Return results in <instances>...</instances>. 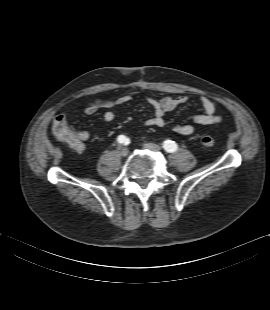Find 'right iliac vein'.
<instances>
[{
  "mask_svg": "<svg viewBox=\"0 0 270 310\" xmlns=\"http://www.w3.org/2000/svg\"><path fill=\"white\" fill-rule=\"evenodd\" d=\"M119 152H120V154H121L122 156H127L129 151H128V148H127V147L121 146V147L119 148Z\"/></svg>",
  "mask_w": 270,
  "mask_h": 310,
  "instance_id": "obj_1",
  "label": "right iliac vein"
}]
</instances>
